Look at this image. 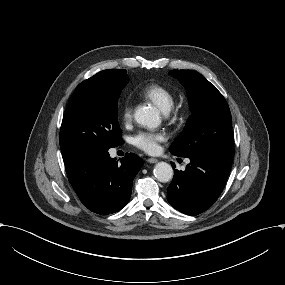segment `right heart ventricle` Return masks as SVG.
Returning a JSON list of instances; mask_svg holds the SVG:
<instances>
[{
  "label": "right heart ventricle",
  "mask_w": 285,
  "mask_h": 285,
  "mask_svg": "<svg viewBox=\"0 0 285 285\" xmlns=\"http://www.w3.org/2000/svg\"><path fill=\"white\" fill-rule=\"evenodd\" d=\"M141 97L155 103L160 109H169L174 101V96L169 87L161 83H149L141 89Z\"/></svg>",
  "instance_id": "1"
}]
</instances>
